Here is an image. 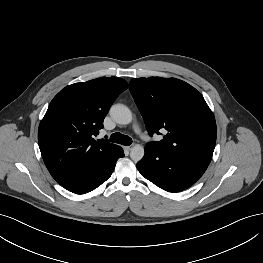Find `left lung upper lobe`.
<instances>
[{
    "label": "left lung upper lobe",
    "instance_id": "5c2ea615",
    "mask_svg": "<svg viewBox=\"0 0 263 263\" xmlns=\"http://www.w3.org/2000/svg\"><path fill=\"white\" fill-rule=\"evenodd\" d=\"M130 92L149 134H167L146 147L171 151L209 165L216 143V122L203 96L188 83L175 78H134Z\"/></svg>",
    "mask_w": 263,
    "mask_h": 263
}]
</instances>
